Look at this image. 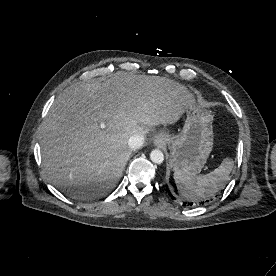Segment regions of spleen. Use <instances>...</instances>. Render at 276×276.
Masks as SVG:
<instances>
[{"mask_svg":"<svg viewBox=\"0 0 276 276\" xmlns=\"http://www.w3.org/2000/svg\"><path fill=\"white\" fill-rule=\"evenodd\" d=\"M233 166V160L226 158L218 168L206 175L175 171L174 180L179 192L187 199H205L225 187Z\"/></svg>","mask_w":276,"mask_h":276,"instance_id":"spleen-1","label":"spleen"}]
</instances>
